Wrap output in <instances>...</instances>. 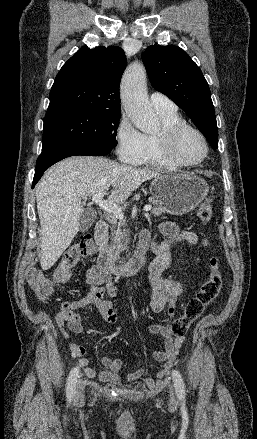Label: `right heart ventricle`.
<instances>
[{
  "label": "right heart ventricle",
  "instance_id": "1",
  "mask_svg": "<svg viewBox=\"0 0 257 439\" xmlns=\"http://www.w3.org/2000/svg\"><path fill=\"white\" fill-rule=\"evenodd\" d=\"M158 114L162 123V129L183 122L182 118L177 114V112H158ZM160 132L161 131L157 133L144 134V151L140 158L134 162V164L161 168H173V166L166 160L163 152L160 149L158 143Z\"/></svg>",
  "mask_w": 257,
  "mask_h": 439
}]
</instances>
